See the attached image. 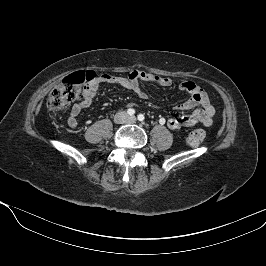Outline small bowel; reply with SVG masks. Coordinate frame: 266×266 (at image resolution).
Listing matches in <instances>:
<instances>
[{
  "label": "small bowel",
  "mask_w": 266,
  "mask_h": 266,
  "mask_svg": "<svg viewBox=\"0 0 266 266\" xmlns=\"http://www.w3.org/2000/svg\"><path fill=\"white\" fill-rule=\"evenodd\" d=\"M101 83L117 84L126 89L133 90L139 98L146 99L147 94L141 88V83H154L161 87L168 88L171 86L172 81L168 77L144 71H133L128 76L101 74L85 88L82 100L71 107L68 117V125L71 128H76L78 126V115L83 109L91 106ZM179 89L182 92L188 93L190 98L184 103L177 105L175 109L179 111L192 110V112L187 115L169 119L167 122L168 127L176 130L183 127H192L197 124L210 126L213 121L215 109L206 92L192 81L181 83ZM132 105V103L128 104V106Z\"/></svg>",
  "instance_id": "obj_1"
}]
</instances>
